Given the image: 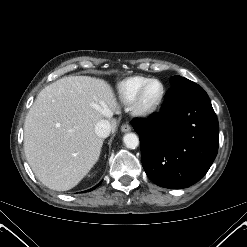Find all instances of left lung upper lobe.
Here are the masks:
<instances>
[{
  "label": "left lung upper lobe",
  "instance_id": "obj_1",
  "mask_svg": "<svg viewBox=\"0 0 247 247\" xmlns=\"http://www.w3.org/2000/svg\"><path fill=\"white\" fill-rule=\"evenodd\" d=\"M170 83L172 87H182V86H189V85H194L196 83L181 77V76H173L170 78Z\"/></svg>",
  "mask_w": 247,
  "mask_h": 247
}]
</instances>
